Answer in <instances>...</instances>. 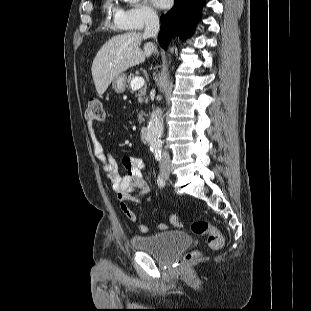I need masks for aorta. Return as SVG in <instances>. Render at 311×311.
<instances>
[{
    "mask_svg": "<svg viewBox=\"0 0 311 311\" xmlns=\"http://www.w3.org/2000/svg\"><path fill=\"white\" fill-rule=\"evenodd\" d=\"M128 3H138L140 0H124ZM163 134V122H162V110L160 108L155 109L151 116L147 127V142L150 146L151 152L158 157L162 149V137Z\"/></svg>",
    "mask_w": 311,
    "mask_h": 311,
    "instance_id": "1",
    "label": "aorta"
}]
</instances>
